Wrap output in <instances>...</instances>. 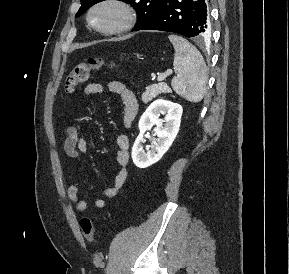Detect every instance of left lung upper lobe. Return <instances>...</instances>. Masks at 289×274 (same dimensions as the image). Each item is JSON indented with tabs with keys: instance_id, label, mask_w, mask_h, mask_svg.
I'll list each match as a JSON object with an SVG mask.
<instances>
[{
	"instance_id": "1",
	"label": "left lung upper lobe",
	"mask_w": 289,
	"mask_h": 274,
	"mask_svg": "<svg viewBox=\"0 0 289 274\" xmlns=\"http://www.w3.org/2000/svg\"><path fill=\"white\" fill-rule=\"evenodd\" d=\"M81 7L76 14V17L82 15L89 7L102 0H80ZM131 4L137 12L136 30L143 24L147 23L155 13L160 9L165 0H122Z\"/></svg>"
}]
</instances>
